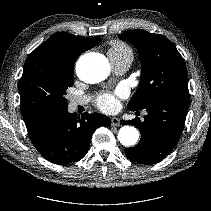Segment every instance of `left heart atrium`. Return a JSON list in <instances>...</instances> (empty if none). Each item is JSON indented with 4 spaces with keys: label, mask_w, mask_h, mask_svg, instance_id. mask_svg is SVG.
I'll return each mask as SVG.
<instances>
[{
    "label": "left heart atrium",
    "mask_w": 211,
    "mask_h": 211,
    "mask_svg": "<svg viewBox=\"0 0 211 211\" xmlns=\"http://www.w3.org/2000/svg\"><path fill=\"white\" fill-rule=\"evenodd\" d=\"M122 93H105L98 97L96 105L105 112L114 111L118 107L117 97Z\"/></svg>",
    "instance_id": "1"
}]
</instances>
